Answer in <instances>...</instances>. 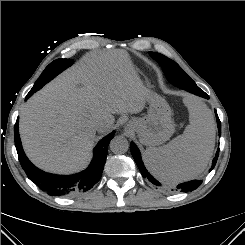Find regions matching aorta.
Wrapping results in <instances>:
<instances>
[{
    "mask_svg": "<svg viewBox=\"0 0 245 245\" xmlns=\"http://www.w3.org/2000/svg\"><path fill=\"white\" fill-rule=\"evenodd\" d=\"M110 149L113 153L123 154L129 149V142L123 136H116L110 142Z\"/></svg>",
    "mask_w": 245,
    "mask_h": 245,
    "instance_id": "aorta-1",
    "label": "aorta"
}]
</instances>
